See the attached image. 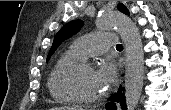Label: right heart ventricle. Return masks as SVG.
Wrapping results in <instances>:
<instances>
[{
	"instance_id": "right-heart-ventricle-1",
	"label": "right heart ventricle",
	"mask_w": 171,
	"mask_h": 110,
	"mask_svg": "<svg viewBox=\"0 0 171 110\" xmlns=\"http://www.w3.org/2000/svg\"><path fill=\"white\" fill-rule=\"evenodd\" d=\"M83 58L72 48L67 49L54 64L48 80L47 86L50 95L60 103H71L74 100L62 89L60 85V74L68 65L82 60Z\"/></svg>"
}]
</instances>
